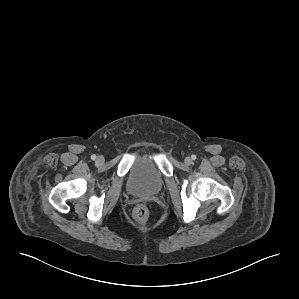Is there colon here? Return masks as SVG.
I'll list each match as a JSON object with an SVG mask.
<instances>
[{
  "mask_svg": "<svg viewBox=\"0 0 299 299\" xmlns=\"http://www.w3.org/2000/svg\"><path fill=\"white\" fill-rule=\"evenodd\" d=\"M150 214L149 207L145 204L137 205L133 211L132 216L136 221H145L148 219Z\"/></svg>",
  "mask_w": 299,
  "mask_h": 299,
  "instance_id": "1",
  "label": "colon"
}]
</instances>
